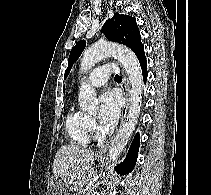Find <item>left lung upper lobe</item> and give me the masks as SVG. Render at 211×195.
<instances>
[{
  "mask_svg": "<svg viewBox=\"0 0 211 195\" xmlns=\"http://www.w3.org/2000/svg\"><path fill=\"white\" fill-rule=\"evenodd\" d=\"M101 32L105 34L107 39L131 48L137 57L145 55L144 46L140 40V31L134 17L115 13L111 19L104 23ZM85 45V40H80L72 48L68 59V67L65 71V78L69 74L74 62L81 55Z\"/></svg>",
  "mask_w": 211,
  "mask_h": 195,
  "instance_id": "1",
  "label": "left lung upper lobe"
}]
</instances>
